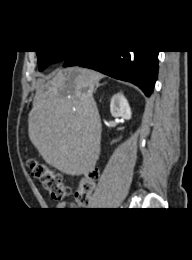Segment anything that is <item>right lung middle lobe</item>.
I'll return each mask as SVG.
<instances>
[{
	"mask_svg": "<svg viewBox=\"0 0 192 260\" xmlns=\"http://www.w3.org/2000/svg\"><path fill=\"white\" fill-rule=\"evenodd\" d=\"M39 70H44L52 63L64 61L72 52L70 51H36Z\"/></svg>",
	"mask_w": 192,
	"mask_h": 260,
	"instance_id": "1",
	"label": "right lung middle lobe"
}]
</instances>
